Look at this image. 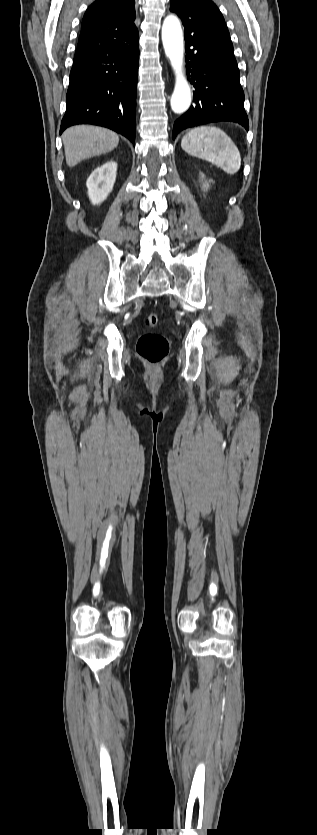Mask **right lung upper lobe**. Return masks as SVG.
<instances>
[{"label":"right lung upper lobe","instance_id":"obj_1","mask_svg":"<svg viewBox=\"0 0 317 835\" xmlns=\"http://www.w3.org/2000/svg\"><path fill=\"white\" fill-rule=\"evenodd\" d=\"M135 0H96L87 9L78 48L115 47L138 36Z\"/></svg>","mask_w":317,"mask_h":835}]
</instances>
